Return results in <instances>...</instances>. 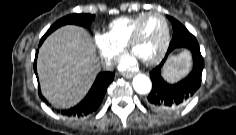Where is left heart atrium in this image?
<instances>
[{
	"instance_id": "left-heart-atrium-1",
	"label": "left heart atrium",
	"mask_w": 236,
	"mask_h": 135,
	"mask_svg": "<svg viewBox=\"0 0 236 135\" xmlns=\"http://www.w3.org/2000/svg\"><path fill=\"white\" fill-rule=\"evenodd\" d=\"M137 61H138L137 58L134 56L127 57L120 62L119 68L122 70L131 69L136 66Z\"/></svg>"
}]
</instances>
